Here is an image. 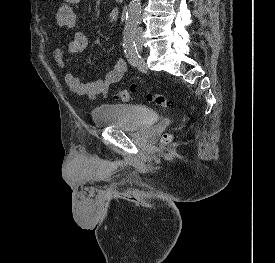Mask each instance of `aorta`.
Masks as SVG:
<instances>
[{
  "label": "aorta",
  "mask_w": 275,
  "mask_h": 263,
  "mask_svg": "<svg viewBox=\"0 0 275 263\" xmlns=\"http://www.w3.org/2000/svg\"><path fill=\"white\" fill-rule=\"evenodd\" d=\"M141 0H131L127 7L126 25L136 27L140 20Z\"/></svg>",
  "instance_id": "1"
}]
</instances>
